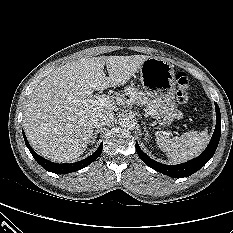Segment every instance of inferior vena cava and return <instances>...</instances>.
<instances>
[{
	"label": "inferior vena cava",
	"instance_id": "inferior-vena-cava-1",
	"mask_svg": "<svg viewBox=\"0 0 233 233\" xmlns=\"http://www.w3.org/2000/svg\"><path fill=\"white\" fill-rule=\"evenodd\" d=\"M114 113L108 110L98 111L92 120L93 126L96 128H101L110 124L113 121Z\"/></svg>",
	"mask_w": 233,
	"mask_h": 233
}]
</instances>
